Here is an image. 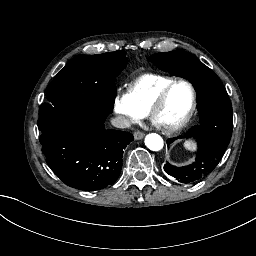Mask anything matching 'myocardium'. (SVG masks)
I'll return each instance as SVG.
<instances>
[{"label": "myocardium", "instance_id": "f54148a6", "mask_svg": "<svg viewBox=\"0 0 256 256\" xmlns=\"http://www.w3.org/2000/svg\"><path fill=\"white\" fill-rule=\"evenodd\" d=\"M178 83H185L191 91V95H192V104L191 107L188 111V113L185 115V117L179 122L177 123L171 130L169 131H164L163 133L166 135H171L174 132L180 130L182 127H184L189 120L191 119V117L194 115L196 107H197V97H196V91L195 88L193 86V84L184 77H179L177 79H174L169 85H167L156 97V99L151 102L150 104L146 105L144 107V111L152 117V112L158 108H160L166 101V99L168 98V95L170 93V91L172 90V88L178 84Z\"/></svg>", "mask_w": 256, "mask_h": 256}]
</instances>
